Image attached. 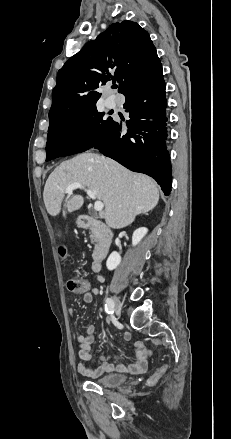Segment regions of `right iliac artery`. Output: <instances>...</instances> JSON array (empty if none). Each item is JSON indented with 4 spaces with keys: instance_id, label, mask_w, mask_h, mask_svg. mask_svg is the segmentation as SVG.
I'll list each match as a JSON object with an SVG mask.
<instances>
[{
    "instance_id": "82829eb1",
    "label": "right iliac artery",
    "mask_w": 231,
    "mask_h": 439,
    "mask_svg": "<svg viewBox=\"0 0 231 439\" xmlns=\"http://www.w3.org/2000/svg\"><path fill=\"white\" fill-rule=\"evenodd\" d=\"M105 310L108 314L113 313L114 302L111 298H106L105 300Z\"/></svg>"
}]
</instances>
